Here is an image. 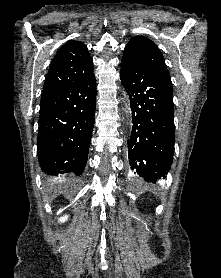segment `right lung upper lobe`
I'll return each mask as SVG.
<instances>
[{"label":"right lung upper lobe","instance_id":"cb5924a9","mask_svg":"<svg viewBox=\"0 0 221 278\" xmlns=\"http://www.w3.org/2000/svg\"><path fill=\"white\" fill-rule=\"evenodd\" d=\"M93 73V61L86 45L79 41L65 43L55 55L42 93L80 82Z\"/></svg>","mask_w":221,"mask_h":278}]
</instances>
